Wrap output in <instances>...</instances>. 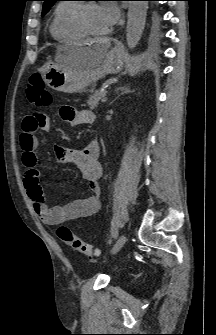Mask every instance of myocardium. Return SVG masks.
I'll list each match as a JSON object with an SVG mask.
<instances>
[{
  "label": "myocardium",
  "instance_id": "f54148a6",
  "mask_svg": "<svg viewBox=\"0 0 216 335\" xmlns=\"http://www.w3.org/2000/svg\"><path fill=\"white\" fill-rule=\"evenodd\" d=\"M93 5L92 3L90 4H80L79 7L77 8L74 16V21L75 25L77 26L78 29H80L85 35L88 36H103L107 34L108 31L104 32H95L92 31L86 21V14L88 8Z\"/></svg>",
  "mask_w": 216,
  "mask_h": 335
}]
</instances>
